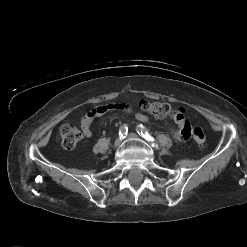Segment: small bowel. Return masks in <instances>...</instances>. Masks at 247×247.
Instances as JSON below:
<instances>
[{"label": "small bowel", "instance_id": "1", "mask_svg": "<svg viewBox=\"0 0 247 247\" xmlns=\"http://www.w3.org/2000/svg\"><path fill=\"white\" fill-rule=\"evenodd\" d=\"M112 110H122L127 113H132L133 109L132 107L125 102L121 103H108L105 105L97 106L92 109H90L81 119V128L83 131V134L86 137L92 136V131L90 129V126L95 118L100 117L109 111ZM135 117L140 122H146L148 120L147 116L142 113H135ZM173 119L177 125L176 129L172 131V135L175 140L182 141L186 140L190 137V125L183 114L178 113L176 115H173Z\"/></svg>", "mask_w": 247, "mask_h": 247}]
</instances>
